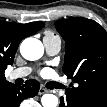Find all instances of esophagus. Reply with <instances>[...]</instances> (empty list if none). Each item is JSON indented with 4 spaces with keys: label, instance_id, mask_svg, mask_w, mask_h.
<instances>
[{
    "label": "esophagus",
    "instance_id": "1",
    "mask_svg": "<svg viewBox=\"0 0 107 107\" xmlns=\"http://www.w3.org/2000/svg\"><path fill=\"white\" fill-rule=\"evenodd\" d=\"M46 92H47V89H45L43 86H41L40 89H39V91H38V94L42 95V94H44Z\"/></svg>",
    "mask_w": 107,
    "mask_h": 107
}]
</instances>
